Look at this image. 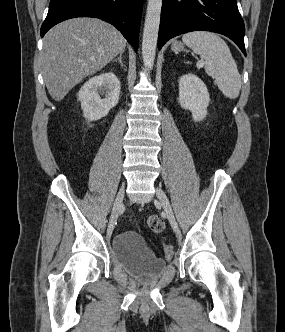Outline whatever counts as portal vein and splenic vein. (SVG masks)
I'll list each match as a JSON object with an SVG mask.
<instances>
[{
    "mask_svg": "<svg viewBox=\"0 0 285 332\" xmlns=\"http://www.w3.org/2000/svg\"><path fill=\"white\" fill-rule=\"evenodd\" d=\"M199 66H203V62H199Z\"/></svg>",
    "mask_w": 285,
    "mask_h": 332,
    "instance_id": "obj_1",
    "label": "portal vein and splenic vein"
}]
</instances>
